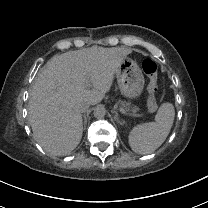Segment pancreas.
Wrapping results in <instances>:
<instances>
[{
	"mask_svg": "<svg viewBox=\"0 0 208 208\" xmlns=\"http://www.w3.org/2000/svg\"><path fill=\"white\" fill-rule=\"evenodd\" d=\"M121 106H122V108H123L125 111L131 112V113H135V112L138 110V107H137V106L131 107V106H130L129 104H127V103H122Z\"/></svg>",
	"mask_w": 208,
	"mask_h": 208,
	"instance_id": "obj_1",
	"label": "pancreas"
}]
</instances>
